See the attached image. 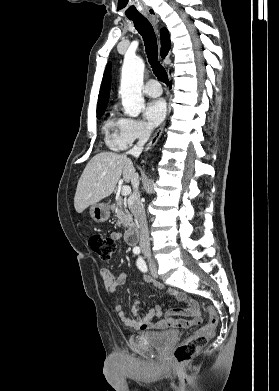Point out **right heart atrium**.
<instances>
[{"mask_svg": "<svg viewBox=\"0 0 279 391\" xmlns=\"http://www.w3.org/2000/svg\"><path fill=\"white\" fill-rule=\"evenodd\" d=\"M117 148L125 149L137 141L145 140L149 133V126L142 120L130 117H123L118 125Z\"/></svg>", "mask_w": 279, "mask_h": 391, "instance_id": "right-heart-atrium-1", "label": "right heart atrium"}]
</instances>
